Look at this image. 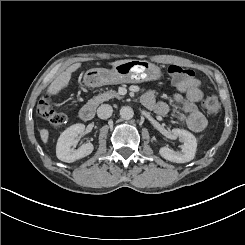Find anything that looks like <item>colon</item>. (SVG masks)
Wrapping results in <instances>:
<instances>
[{
	"instance_id": "1",
	"label": "colon",
	"mask_w": 245,
	"mask_h": 245,
	"mask_svg": "<svg viewBox=\"0 0 245 245\" xmlns=\"http://www.w3.org/2000/svg\"><path fill=\"white\" fill-rule=\"evenodd\" d=\"M168 73L172 80L177 84L186 81L194 76L190 69L178 65H171ZM202 105L209 114H215L220 110V102L216 95L211 94L203 99ZM57 102L53 95L47 94L37 106L38 115L54 127H59L65 123L66 117L56 109Z\"/></svg>"
}]
</instances>
